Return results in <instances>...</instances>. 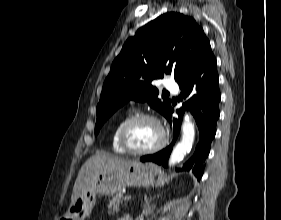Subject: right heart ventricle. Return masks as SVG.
Returning a JSON list of instances; mask_svg holds the SVG:
<instances>
[{"label": "right heart ventricle", "instance_id": "obj_1", "mask_svg": "<svg viewBox=\"0 0 281 220\" xmlns=\"http://www.w3.org/2000/svg\"><path fill=\"white\" fill-rule=\"evenodd\" d=\"M130 114H126L123 117H121L115 124L112 133H111V148L113 150V152H115L116 154H120V155H126L128 154L119 144V140H118V134H119V130L121 128V126L123 125V123L130 118Z\"/></svg>", "mask_w": 281, "mask_h": 220}]
</instances>
